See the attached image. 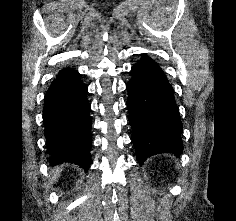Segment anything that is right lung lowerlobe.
Wrapping results in <instances>:
<instances>
[{"label": "right lung lower lobe", "mask_w": 236, "mask_h": 221, "mask_svg": "<svg viewBox=\"0 0 236 221\" xmlns=\"http://www.w3.org/2000/svg\"><path fill=\"white\" fill-rule=\"evenodd\" d=\"M87 87L79 74L63 68L45 94L43 122L52 164L90 166L91 121Z\"/></svg>", "instance_id": "98d812e1"}]
</instances>
